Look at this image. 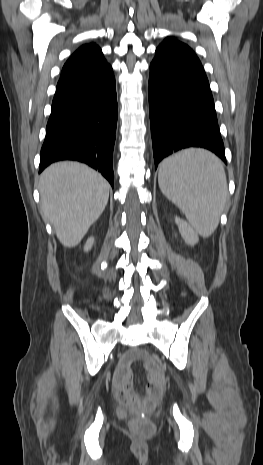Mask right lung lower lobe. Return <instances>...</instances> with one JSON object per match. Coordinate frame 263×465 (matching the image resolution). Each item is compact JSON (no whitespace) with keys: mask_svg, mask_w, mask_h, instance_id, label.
Returning <instances> with one entry per match:
<instances>
[{"mask_svg":"<svg viewBox=\"0 0 263 465\" xmlns=\"http://www.w3.org/2000/svg\"><path fill=\"white\" fill-rule=\"evenodd\" d=\"M117 96L111 66L60 79L52 102L39 173L59 160L84 162L113 186Z\"/></svg>","mask_w":263,"mask_h":465,"instance_id":"right-lung-lower-lobe-1","label":"right lung lower lobe"}]
</instances>
